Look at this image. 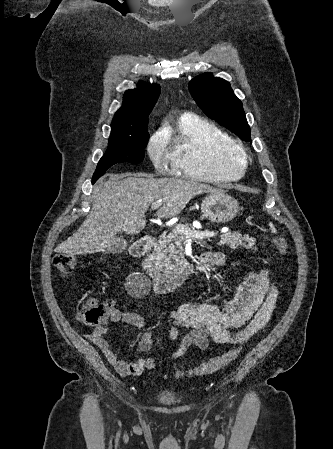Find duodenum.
I'll list each match as a JSON object with an SVG mask.
<instances>
[{"label":"duodenum","mask_w":333,"mask_h":449,"mask_svg":"<svg viewBox=\"0 0 333 449\" xmlns=\"http://www.w3.org/2000/svg\"><path fill=\"white\" fill-rule=\"evenodd\" d=\"M156 245V239L146 236L135 242L130 249L133 257L141 259L154 291L170 293L187 281L199 267L209 263V253L203 254L197 264H186L169 273H162L149 259V254Z\"/></svg>","instance_id":"duodenum-1"}]
</instances>
